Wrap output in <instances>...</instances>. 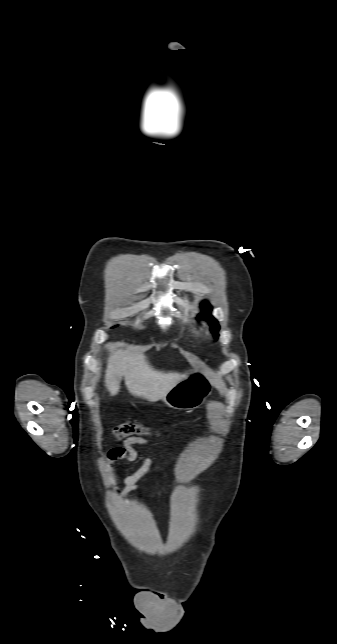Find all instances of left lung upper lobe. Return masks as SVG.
I'll return each instance as SVG.
<instances>
[{"label":"left lung upper lobe","mask_w":337,"mask_h":644,"mask_svg":"<svg viewBox=\"0 0 337 644\" xmlns=\"http://www.w3.org/2000/svg\"><path fill=\"white\" fill-rule=\"evenodd\" d=\"M203 308H204L206 311H210V310H211V306H210L207 302H204V303H203ZM209 320H210V322L213 324V326L218 330L217 321H216L215 319H213V318H209Z\"/></svg>","instance_id":"1"}]
</instances>
